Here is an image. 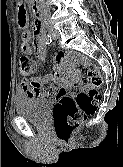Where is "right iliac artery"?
Listing matches in <instances>:
<instances>
[{
    "label": "right iliac artery",
    "instance_id": "obj_1",
    "mask_svg": "<svg viewBox=\"0 0 123 167\" xmlns=\"http://www.w3.org/2000/svg\"><path fill=\"white\" fill-rule=\"evenodd\" d=\"M43 41L45 44H50L52 42V37L49 34H44Z\"/></svg>",
    "mask_w": 123,
    "mask_h": 167
}]
</instances>
